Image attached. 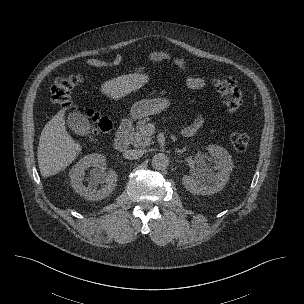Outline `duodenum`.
<instances>
[{
    "label": "duodenum",
    "mask_w": 304,
    "mask_h": 304,
    "mask_svg": "<svg viewBox=\"0 0 304 304\" xmlns=\"http://www.w3.org/2000/svg\"><path fill=\"white\" fill-rule=\"evenodd\" d=\"M132 127V121L130 119L123 120L116 132L114 146L119 152H124L128 148V135Z\"/></svg>",
    "instance_id": "duodenum-1"
}]
</instances>
